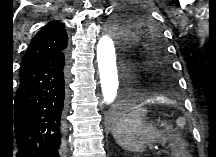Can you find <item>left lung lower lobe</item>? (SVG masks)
Here are the masks:
<instances>
[{
    "label": "left lung lower lobe",
    "mask_w": 216,
    "mask_h": 157,
    "mask_svg": "<svg viewBox=\"0 0 216 157\" xmlns=\"http://www.w3.org/2000/svg\"><path fill=\"white\" fill-rule=\"evenodd\" d=\"M114 117L117 118V115L115 114Z\"/></svg>",
    "instance_id": "0a47b994"
}]
</instances>
